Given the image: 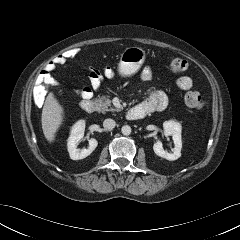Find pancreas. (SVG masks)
Wrapping results in <instances>:
<instances>
[{
  "instance_id": "pancreas-1",
  "label": "pancreas",
  "mask_w": 240,
  "mask_h": 240,
  "mask_svg": "<svg viewBox=\"0 0 240 240\" xmlns=\"http://www.w3.org/2000/svg\"><path fill=\"white\" fill-rule=\"evenodd\" d=\"M95 104H96V107H97V110L99 112H106V111H119L118 108H112L111 106V100L109 99L108 96H102V97H99L95 100ZM111 107V108H109Z\"/></svg>"
}]
</instances>
